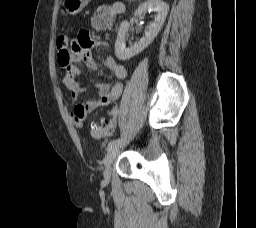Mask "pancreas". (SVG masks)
Returning a JSON list of instances; mask_svg holds the SVG:
<instances>
[{
    "instance_id": "pancreas-1",
    "label": "pancreas",
    "mask_w": 256,
    "mask_h": 228,
    "mask_svg": "<svg viewBox=\"0 0 256 228\" xmlns=\"http://www.w3.org/2000/svg\"><path fill=\"white\" fill-rule=\"evenodd\" d=\"M128 2H133V1H135V0H127Z\"/></svg>"
}]
</instances>
